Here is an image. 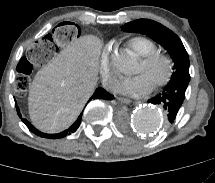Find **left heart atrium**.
<instances>
[{
	"instance_id": "1",
	"label": "left heart atrium",
	"mask_w": 215,
	"mask_h": 183,
	"mask_svg": "<svg viewBox=\"0 0 215 183\" xmlns=\"http://www.w3.org/2000/svg\"><path fill=\"white\" fill-rule=\"evenodd\" d=\"M152 88L153 84L143 73L132 77H127L123 79L119 85V90L122 93L131 96H142L148 94L152 90Z\"/></svg>"
}]
</instances>
